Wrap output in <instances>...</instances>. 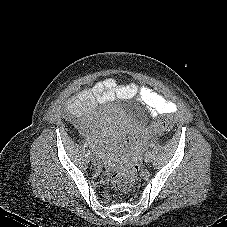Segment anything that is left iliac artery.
Here are the masks:
<instances>
[{
	"instance_id": "44dca946",
	"label": "left iliac artery",
	"mask_w": 227,
	"mask_h": 227,
	"mask_svg": "<svg viewBox=\"0 0 227 227\" xmlns=\"http://www.w3.org/2000/svg\"><path fill=\"white\" fill-rule=\"evenodd\" d=\"M154 145H155L154 143H151V144H150V147H154Z\"/></svg>"
}]
</instances>
